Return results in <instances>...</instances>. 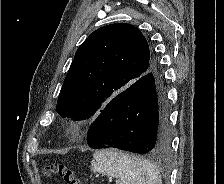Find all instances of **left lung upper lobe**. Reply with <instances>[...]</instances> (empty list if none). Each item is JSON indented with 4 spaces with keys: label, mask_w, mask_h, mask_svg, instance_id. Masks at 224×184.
<instances>
[{
    "label": "left lung upper lobe",
    "mask_w": 224,
    "mask_h": 184,
    "mask_svg": "<svg viewBox=\"0 0 224 184\" xmlns=\"http://www.w3.org/2000/svg\"><path fill=\"white\" fill-rule=\"evenodd\" d=\"M155 69L156 60L138 28L125 23L101 27L77 49L58 97L57 113L85 120Z\"/></svg>",
    "instance_id": "5c2ea615"
}]
</instances>
